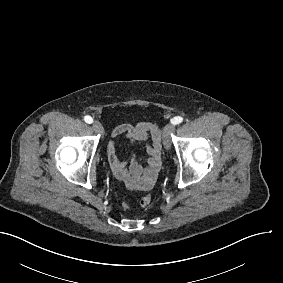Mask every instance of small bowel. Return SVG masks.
I'll return each mask as SVG.
<instances>
[{"instance_id":"small-bowel-1","label":"small bowel","mask_w":283,"mask_h":283,"mask_svg":"<svg viewBox=\"0 0 283 283\" xmlns=\"http://www.w3.org/2000/svg\"><path fill=\"white\" fill-rule=\"evenodd\" d=\"M112 141L107 146V157L116 179L127 183L128 188H138L143 185V181L154 183L158 171L161 167V132L157 125L150 122H139L137 124H120L113 128L111 132ZM126 137L133 142H148L149 159L146 155L141 154L138 157L140 164L148 167L144 170L141 179L129 181L131 179L130 170L133 174L138 175L141 172L140 166L137 165V157L134 154L129 155V168L127 163L119 159L116 152V140Z\"/></svg>"}]
</instances>
